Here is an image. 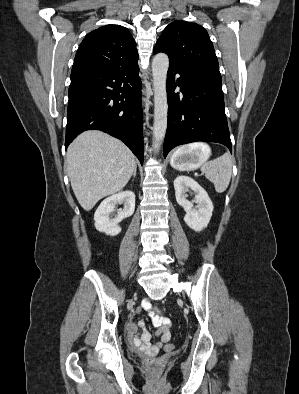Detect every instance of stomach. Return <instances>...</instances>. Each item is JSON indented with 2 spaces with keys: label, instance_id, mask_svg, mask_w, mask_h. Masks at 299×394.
I'll return each instance as SVG.
<instances>
[{
  "label": "stomach",
  "instance_id": "stomach-1",
  "mask_svg": "<svg viewBox=\"0 0 299 394\" xmlns=\"http://www.w3.org/2000/svg\"><path fill=\"white\" fill-rule=\"evenodd\" d=\"M210 155V150L203 147L189 149L184 147L178 149L170 158V164L173 168L180 171L197 169L202 165Z\"/></svg>",
  "mask_w": 299,
  "mask_h": 394
}]
</instances>
